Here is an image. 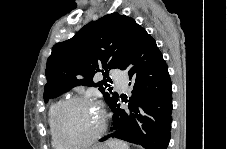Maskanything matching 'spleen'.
<instances>
[{
    "mask_svg": "<svg viewBox=\"0 0 227 149\" xmlns=\"http://www.w3.org/2000/svg\"><path fill=\"white\" fill-rule=\"evenodd\" d=\"M110 149H129L127 143L120 140H112L108 142Z\"/></svg>",
    "mask_w": 227,
    "mask_h": 149,
    "instance_id": "3e777b00",
    "label": "spleen"
}]
</instances>
